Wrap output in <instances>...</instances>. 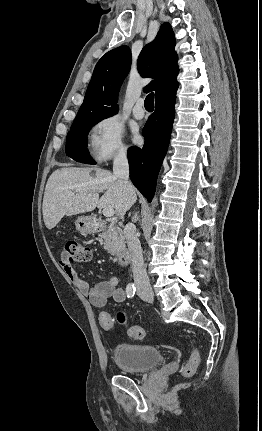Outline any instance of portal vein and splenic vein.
Instances as JSON below:
<instances>
[{
    "label": "portal vein and splenic vein",
    "instance_id": "obj_1",
    "mask_svg": "<svg viewBox=\"0 0 262 431\" xmlns=\"http://www.w3.org/2000/svg\"><path fill=\"white\" fill-rule=\"evenodd\" d=\"M71 195H74V193L73 192H71L70 193ZM103 215L104 216H106V217H113L114 215H115V211H114V209L113 208H111V207H108V208H104L103 209Z\"/></svg>",
    "mask_w": 262,
    "mask_h": 431
}]
</instances>
